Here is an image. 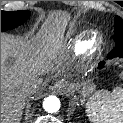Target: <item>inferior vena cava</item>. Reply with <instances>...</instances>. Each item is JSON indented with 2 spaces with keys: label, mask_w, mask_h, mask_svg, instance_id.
I'll return each mask as SVG.
<instances>
[{
  "label": "inferior vena cava",
  "mask_w": 123,
  "mask_h": 123,
  "mask_svg": "<svg viewBox=\"0 0 123 123\" xmlns=\"http://www.w3.org/2000/svg\"><path fill=\"white\" fill-rule=\"evenodd\" d=\"M40 88L39 81L34 79V80H27L23 83L22 90L23 92L27 95H33L36 93Z\"/></svg>",
  "instance_id": "inferior-vena-cava-1"
}]
</instances>
